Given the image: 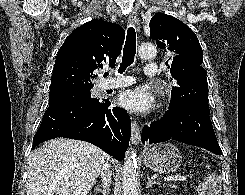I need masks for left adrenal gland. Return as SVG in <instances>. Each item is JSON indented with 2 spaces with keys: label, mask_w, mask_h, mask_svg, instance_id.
<instances>
[{
  "label": "left adrenal gland",
  "mask_w": 245,
  "mask_h": 195,
  "mask_svg": "<svg viewBox=\"0 0 245 195\" xmlns=\"http://www.w3.org/2000/svg\"><path fill=\"white\" fill-rule=\"evenodd\" d=\"M147 179H148V184H147V186H146V188H150V187H152L153 185H160V183L159 182H156V181H154V180H151V178L149 177V175H147Z\"/></svg>",
  "instance_id": "left-adrenal-gland-1"
}]
</instances>
